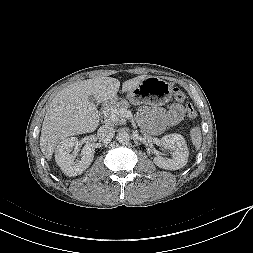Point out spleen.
Returning a JSON list of instances; mask_svg holds the SVG:
<instances>
[{
    "label": "spleen",
    "instance_id": "1",
    "mask_svg": "<svg viewBox=\"0 0 253 253\" xmlns=\"http://www.w3.org/2000/svg\"><path fill=\"white\" fill-rule=\"evenodd\" d=\"M190 140L196 149H199L202 143L201 129L199 126H195L190 130Z\"/></svg>",
    "mask_w": 253,
    "mask_h": 253
}]
</instances>
